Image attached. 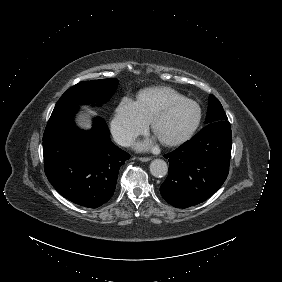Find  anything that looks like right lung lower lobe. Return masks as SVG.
<instances>
[{"mask_svg": "<svg viewBox=\"0 0 282 282\" xmlns=\"http://www.w3.org/2000/svg\"><path fill=\"white\" fill-rule=\"evenodd\" d=\"M78 105L52 112L43 135L45 174L54 188L68 200L97 208L114 194L120 167L130 155L115 146L102 118L91 131L73 122Z\"/></svg>", "mask_w": 282, "mask_h": 282, "instance_id": "right-lung-lower-lobe-1", "label": "right lung lower lobe"}]
</instances>
